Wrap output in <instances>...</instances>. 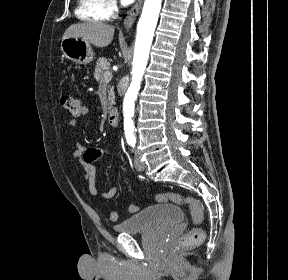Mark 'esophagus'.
I'll return each mask as SVG.
<instances>
[{
  "mask_svg": "<svg viewBox=\"0 0 288 280\" xmlns=\"http://www.w3.org/2000/svg\"><path fill=\"white\" fill-rule=\"evenodd\" d=\"M142 3H143V0H137L135 5L128 12V14L124 20V23H123V26H124L126 31H129L132 28L138 14L140 12V9L142 7Z\"/></svg>",
  "mask_w": 288,
  "mask_h": 280,
  "instance_id": "1",
  "label": "esophagus"
}]
</instances>
